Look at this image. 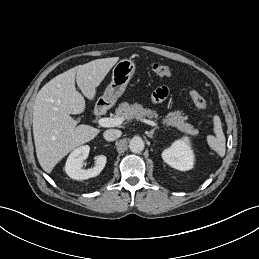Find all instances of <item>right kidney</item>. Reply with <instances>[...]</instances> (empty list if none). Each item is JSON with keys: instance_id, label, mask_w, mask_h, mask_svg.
<instances>
[{"instance_id": "right-kidney-1", "label": "right kidney", "mask_w": 259, "mask_h": 259, "mask_svg": "<svg viewBox=\"0 0 259 259\" xmlns=\"http://www.w3.org/2000/svg\"><path fill=\"white\" fill-rule=\"evenodd\" d=\"M89 151L90 147L85 145L71 152L65 165V171L69 177L75 180H85L100 174L107 162V158L104 155L95 157V166L93 168L88 170L82 169V163L88 157Z\"/></svg>"}]
</instances>
